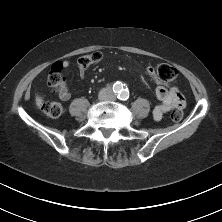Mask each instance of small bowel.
Listing matches in <instances>:
<instances>
[{
	"label": "small bowel",
	"instance_id": "obj_1",
	"mask_svg": "<svg viewBox=\"0 0 222 222\" xmlns=\"http://www.w3.org/2000/svg\"><path fill=\"white\" fill-rule=\"evenodd\" d=\"M62 66L67 67L68 62H63ZM78 71L80 77L84 78L86 75V70L79 66ZM147 73L154 79L155 85L162 84V75L158 73L154 67H148ZM156 95L160 100V103L153 109V117L155 120H161L163 115L168 111L172 110L173 108H179L181 106L184 107L185 105L183 94L175 87L165 88L163 86H158L156 89ZM59 97L63 101H67L71 98V93L65 82L61 83Z\"/></svg>",
	"mask_w": 222,
	"mask_h": 222
}]
</instances>
